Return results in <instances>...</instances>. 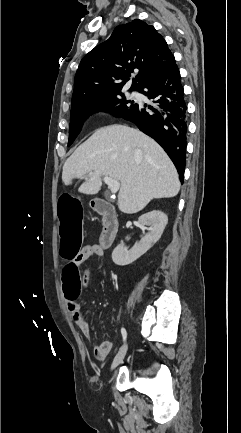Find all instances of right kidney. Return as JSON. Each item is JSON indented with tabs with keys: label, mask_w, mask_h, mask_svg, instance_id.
<instances>
[{
	"label": "right kidney",
	"mask_w": 241,
	"mask_h": 433,
	"mask_svg": "<svg viewBox=\"0 0 241 433\" xmlns=\"http://www.w3.org/2000/svg\"><path fill=\"white\" fill-rule=\"evenodd\" d=\"M138 222L140 227L148 230V233L130 250L123 245H118L112 252V260L116 265H129L145 254L161 238L168 217L160 210H153L141 215Z\"/></svg>",
	"instance_id": "obj_1"
}]
</instances>
